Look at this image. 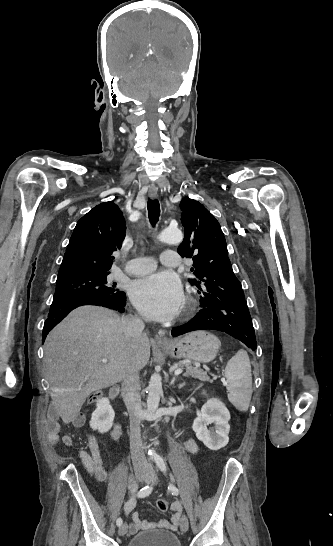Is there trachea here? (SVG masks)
<instances>
[{"instance_id":"1","label":"trachea","mask_w":333,"mask_h":546,"mask_svg":"<svg viewBox=\"0 0 333 546\" xmlns=\"http://www.w3.org/2000/svg\"><path fill=\"white\" fill-rule=\"evenodd\" d=\"M147 208H148L149 221L152 224V226H155V224L157 223V221L159 219V215H160V205H159L158 200L149 199L148 203H147Z\"/></svg>"}]
</instances>
